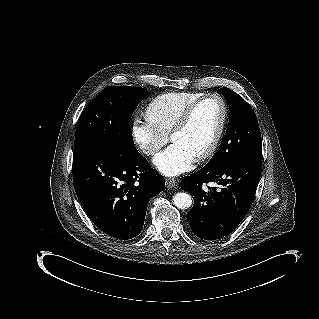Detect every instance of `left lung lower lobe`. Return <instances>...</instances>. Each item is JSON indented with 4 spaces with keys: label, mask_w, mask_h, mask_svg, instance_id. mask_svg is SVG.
<instances>
[{
    "label": "left lung lower lobe",
    "mask_w": 319,
    "mask_h": 319,
    "mask_svg": "<svg viewBox=\"0 0 319 319\" xmlns=\"http://www.w3.org/2000/svg\"><path fill=\"white\" fill-rule=\"evenodd\" d=\"M261 169L262 156H248L206 164L184 177L181 188L194 198L187 213L192 232L201 239L216 240L234 231L251 207Z\"/></svg>",
    "instance_id": "1"
}]
</instances>
